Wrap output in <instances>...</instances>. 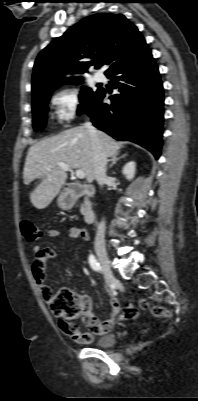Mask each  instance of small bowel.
I'll list each match as a JSON object with an SVG mask.
<instances>
[{"instance_id":"small-bowel-1","label":"small bowel","mask_w":198,"mask_h":401,"mask_svg":"<svg viewBox=\"0 0 198 401\" xmlns=\"http://www.w3.org/2000/svg\"><path fill=\"white\" fill-rule=\"evenodd\" d=\"M69 236L72 238L81 239L85 242L89 241V233L86 229L81 227H70L68 229ZM60 231L56 228L48 230V236L51 238L59 236ZM34 256L31 263L32 276L40 289V293L44 298H48L51 295V288L45 284L46 281V266L55 257V251L49 247H43L41 245H35L33 248ZM80 301L85 310V314H92L94 319L90 321L86 326L89 332L82 333L78 330L71 336L69 329L73 326L72 324H66L60 322V328L66 334L71 336L76 341L88 344L95 335H102L107 333L113 326L115 317L120 311V301L116 294H110L111 314L109 319L101 321L92 312V301L88 295H81Z\"/></svg>"}]
</instances>
